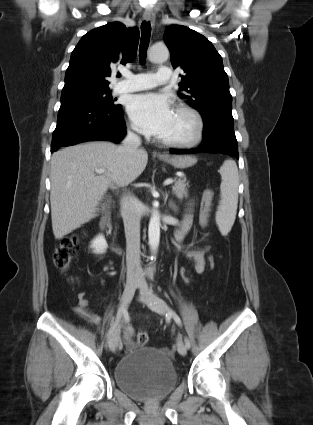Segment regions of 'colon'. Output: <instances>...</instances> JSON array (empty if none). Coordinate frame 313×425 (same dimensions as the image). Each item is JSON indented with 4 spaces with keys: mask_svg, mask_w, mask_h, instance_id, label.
Returning <instances> with one entry per match:
<instances>
[{
    "mask_svg": "<svg viewBox=\"0 0 313 425\" xmlns=\"http://www.w3.org/2000/svg\"><path fill=\"white\" fill-rule=\"evenodd\" d=\"M82 235H70L64 237L58 246L55 248L53 253V262L55 266L61 270L66 271L73 260L74 254L78 248ZM215 265V259L213 256H209L206 260V268L212 269ZM192 274L186 268H181L179 271L178 283L185 286L192 281ZM136 341L138 345L145 346L148 344L149 336L146 331H139L136 335Z\"/></svg>",
    "mask_w": 313,
    "mask_h": 425,
    "instance_id": "obj_1",
    "label": "colon"
}]
</instances>
